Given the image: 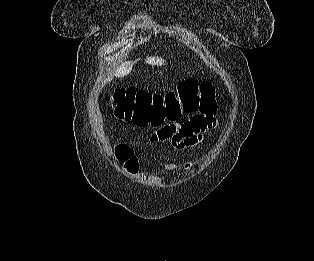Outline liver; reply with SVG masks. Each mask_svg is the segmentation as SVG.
Returning a JSON list of instances; mask_svg holds the SVG:
<instances>
[{"mask_svg": "<svg viewBox=\"0 0 314 261\" xmlns=\"http://www.w3.org/2000/svg\"><path fill=\"white\" fill-rule=\"evenodd\" d=\"M146 63L151 65H163L165 61L160 57H147L145 60ZM134 62H125L122 63L115 71V76L124 77L132 71Z\"/></svg>", "mask_w": 314, "mask_h": 261, "instance_id": "liver-1", "label": "liver"}]
</instances>
